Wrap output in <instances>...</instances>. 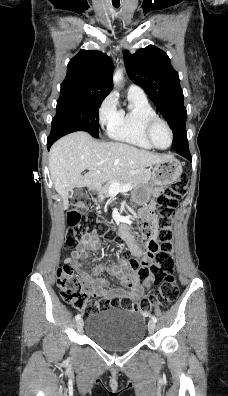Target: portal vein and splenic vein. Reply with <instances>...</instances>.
Instances as JSON below:
<instances>
[{
    "label": "portal vein and splenic vein",
    "mask_w": 228,
    "mask_h": 396,
    "mask_svg": "<svg viewBox=\"0 0 228 396\" xmlns=\"http://www.w3.org/2000/svg\"><path fill=\"white\" fill-rule=\"evenodd\" d=\"M130 189H132L130 184H125V185L121 186L118 183H114V184H112L111 192L112 193L125 192V191H128Z\"/></svg>",
    "instance_id": "obj_1"
}]
</instances>
